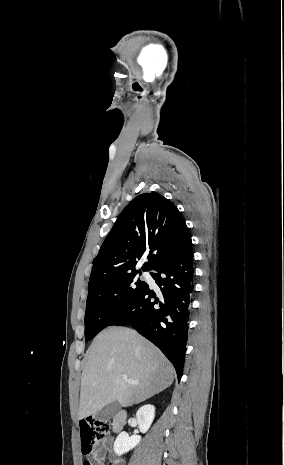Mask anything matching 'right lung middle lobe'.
<instances>
[{
    "instance_id": "dd1d6c3e",
    "label": "right lung middle lobe",
    "mask_w": 284,
    "mask_h": 465,
    "mask_svg": "<svg viewBox=\"0 0 284 465\" xmlns=\"http://www.w3.org/2000/svg\"><path fill=\"white\" fill-rule=\"evenodd\" d=\"M146 285V282L140 280L138 273H133L89 289L85 313L86 341L109 326Z\"/></svg>"
}]
</instances>
